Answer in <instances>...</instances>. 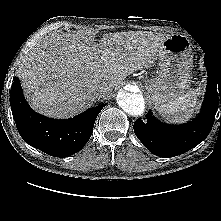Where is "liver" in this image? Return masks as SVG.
<instances>
[{"label":"liver","mask_w":221,"mask_h":221,"mask_svg":"<svg viewBox=\"0 0 221 221\" xmlns=\"http://www.w3.org/2000/svg\"><path fill=\"white\" fill-rule=\"evenodd\" d=\"M164 35L123 32L46 36L24 56L18 77L31 107L48 117H72L106 98L125 78L149 68L163 52ZM108 92L96 97L94 87Z\"/></svg>","instance_id":"6515ba94"}]
</instances>
